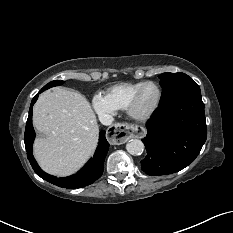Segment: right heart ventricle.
<instances>
[{
  "instance_id": "obj_1",
  "label": "right heart ventricle",
  "mask_w": 233,
  "mask_h": 233,
  "mask_svg": "<svg viewBox=\"0 0 233 233\" xmlns=\"http://www.w3.org/2000/svg\"><path fill=\"white\" fill-rule=\"evenodd\" d=\"M144 82H125L116 84L106 91V97L116 109H126L135 91Z\"/></svg>"
}]
</instances>
